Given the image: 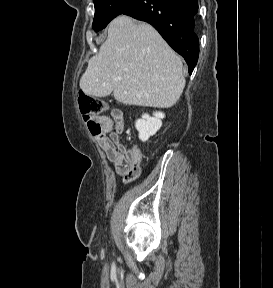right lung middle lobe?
<instances>
[{"label":"right lung middle lobe","mask_w":273,"mask_h":288,"mask_svg":"<svg viewBox=\"0 0 273 288\" xmlns=\"http://www.w3.org/2000/svg\"><path fill=\"white\" fill-rule=\"evenodd\" d=\"M137 0H93L95 17L92 28L99 31L105 28L116 16L125 12Z\"/></svg>","instance_id":"right-lung-middle-lobe-1"}]
</instances>
